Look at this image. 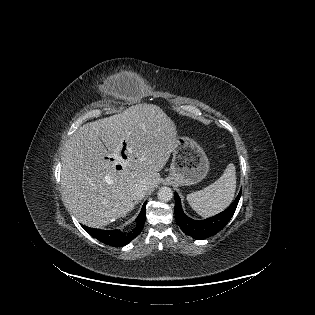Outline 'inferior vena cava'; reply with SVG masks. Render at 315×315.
I'll return each instance as SVG.
<instances>
[{
    "label": "inferior vena cava",
    "mask_w": 315,
    "mask_h": 315,
    "mask_svg": "<svg viewBox=\"0 0 315 315\" xmlns=\"http://www.w3.org/2000/svg\"><path fill=\"white\" fill-rule=\"evenodd\" d=\"M149 190V186L146 182L142 181L140 184L137 186L136 189V196L138 198H141L145 196L146 192Z\"/></svg>",
    "instance_id": "obj_1"
}]
</instances>
